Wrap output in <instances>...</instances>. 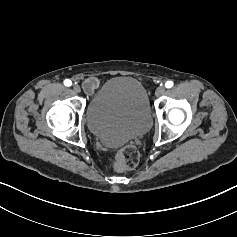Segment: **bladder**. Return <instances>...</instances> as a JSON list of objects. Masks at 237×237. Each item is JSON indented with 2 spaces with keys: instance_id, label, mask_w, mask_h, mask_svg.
<instances>
[{
  "instance_id": "bladder-1",
  "label": "bladder",
  "mask_w": 237,
  "mask_h": 237,
  "mask_svg": "<svg viewBox=\"0 0 237 237\" xmlns=\"http://www.w3.org/2000/svg\"><path fill=\"white\" fill-rule=\"evenodd\" d=\"M85 116L90 132L106 145L138 138L152 124L148 93L130 76H116L103 83L90 98Z\"/></svg>"
}]
</instances>
